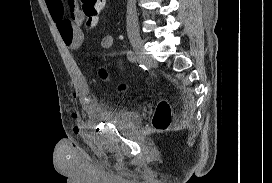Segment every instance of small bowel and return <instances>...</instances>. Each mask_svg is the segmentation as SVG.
<instances>
[{"instance_id":"1","label":"small bowel","mask_w":272,"mask_h":183,"mask_svg":"<svg viewBox=\"0 0 272 183\" xmlns=\"http://www.w3.org/2000/svg\"><path fill=\"white\" fill-rule=\"evenodd\" d=\"M68 2L70 3L71 0ZM45 3L65 46L71 50L79 49L84 41V32L82 30L83 17L81 13L73 10L70 20L66 18L65 0H45ZM113 44L114 36L111 34L105 35L101 40V46L104 49L111 48ZM72 118L78 121L80 115L73 113Z\"/></svg>"}]
</instances>
